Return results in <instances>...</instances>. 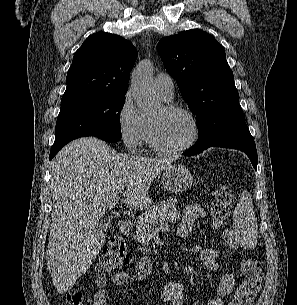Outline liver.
Here are the masks:
<instances>
[{"mask_svg": "<svg viewBox=\"0 0 297 305\" xmlns=\"http://www.w3.org/2000/svg\"><path fill=\"white\" fill-rule=\"evenodd\" d=\"M173 161L118 154L95 137L76 139L55 156L46 261L58 293L70 291L99 254L106 239L99 218L116 198L124 196L136 209L148 207L151 183Z\"/></svg>", "mask_w": 297, "mask_h": 305, "instance_id": "liver-1", "label": "liver"}]
</instances>
